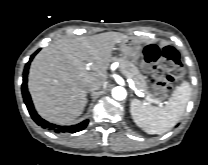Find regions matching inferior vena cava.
Masks as SVG:
<instances>
[{
    "label": "inferior vena cava",
    "instance_id": "602c4592",
    "mask_svg": "<svg viewBox=\"0 0 208 165\" xmlns=\"http://www.w3.org/2000/svg\"><path fill=\"white\" fill-rule=\"evenodd\" d=\"M98 89H100V86L96 85V84L90 85L88 87V91H95V90H98Z\"/></svg>",
    "mask_w": 208,
    "mask_h": 165
}]
</instances>
